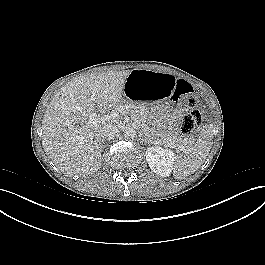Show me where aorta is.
I'll return each instance as SVG.
<instances>
[{
  "label": "aorta",
  "instance_id": "1",
  "mask_svg": "<svg viewBox=\"0 0 265 265\" xmlns=\"http://www.w3.org/2000/svg\"><path fill=\"white\" fill-rule=\"evenodd\" d=\"M136 135V130L132 127H128L125 129L124 136L128 139H133Z\"/></svg>",
  "mask_w": 265,
  "mask_h": 265
}]
</instances>
